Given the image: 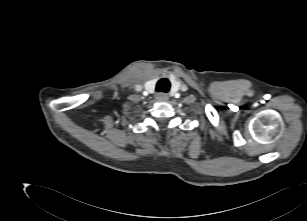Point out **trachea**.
<instances>
[{"label": "trachea", "instance_id": "trachea-1", "mask_svg": "<svg viewBox=\"0 0 307 221\" xmlns=\"http://www.w3.org/2000/svg\"><path fill=\"white\" fill-rule=\"evenodd\" d=\"M170 89V81L167 78H162L157 82L156 91L167 93Z\"/></svg>", "mask_w": 307, "mask_h": 221}]
</instances>
